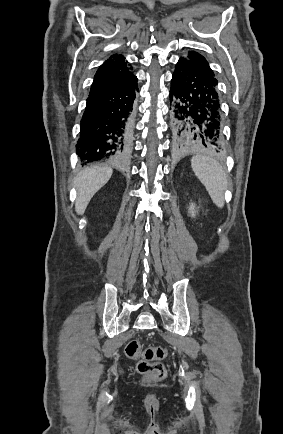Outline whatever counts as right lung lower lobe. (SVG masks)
Returning a JSON list of instances; mask_svg holds the SVG:
<instances>
[{
	"label": "right lung lower lobe",
	"mask_w": 283,
	"mask_h": 434,
	"mask_svg": "<svg viewBox=\"0 0 283 434\" xmlns=\"http://www.w3.org/2000/svg\"><path fill=\"white\" fill-rule=\"evenodd\" d=\"M137 77L112 89L90 94L80 123L76 152L84 163L120 162L129 154L132 105Z\"/></svg>",
	"instance_id": "98d812e1"
}]
</instances>
